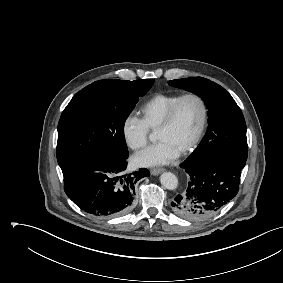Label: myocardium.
<instances>
[{"mask_svg":"<svg viewBox=\"0 0 283 283\" xmlns=\"http://www.w3.org/2000/svg\"><path fill=\"white\" fill-rule=\"evenodd\" d=\"M187 99H195L199 103V105L201 107V121H200L198 130H197L194 138L181 151V154H187V153L193 151L198 146V144L200 143V141L203 137V134H204L206 127H207L208 116H209L208 105H207L205 99L201 95H199L197 93H193V92L181 95L177 99V101L171 106V108L167 112L163 122L161 123V125L157 129V132L169 129L175 121L176 115L178 113V110H179L181 104Z\"/></svg>","mask_w":283,"mask_h":283,"instance_id":"1","label":"myocardium"}]
</instances>
